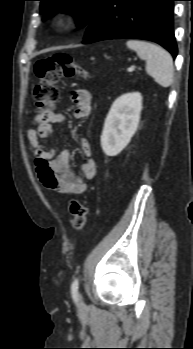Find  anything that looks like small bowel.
<instances>
[{
  "instance_id": "c3829d8e",
  "label": "small bowel",
  "mask_w": 193,
  "mask_h": 349,
  "mask_svg": "<svg viewBox=\"0 0 193 349\" xmlns=\"http://www.w3.org/2000/svg\"><path fill=\"white\" fill-rule=\"evenodd\" d=\"M71 101L76 105L74 117L86 119L92 110V94L86 89H77L71 93ZM65 117L61 113L39 114L33 119V127L26 131L29 150L34 155V164L40 182L48 189L65 194H82L86 190V181L94 178L97 166L91 158L90 143L86 138L80 141V148L86 157L79 169L70 162L67 149L56 152L45 146L46 140L53 135V125L61 123Z\"/></svg>"
}]
</instances>
